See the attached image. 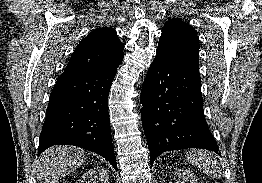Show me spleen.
I'll list each match as a JSON object with an SVG mask.
<instances>
[{"label":"spleen","instance_id":"spleen-1","mask_svg":"<svg viewBox=\"0 0 262 183\" xmlns=\"http://www.w3.org/2000/svg\"><path fill=\"white\" fill-rule=\"evenodd\" d=\"M187 157L193 166L202 170L205 174L212 177L221 176L218 162L213 158V155L210 152L203 150H191Z\"/></svg>","mask_w":262,"mask_h":183}]
</instances>
